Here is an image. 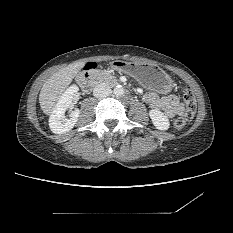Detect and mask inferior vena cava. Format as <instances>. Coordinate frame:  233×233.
I'll return each mask as SVG.
<instances>
[{
	"label": "inferior vena cava",
	"mask_w": 233,
	"mask_h": 233,
	"mask_svg": "<svg viewBox=\"0 0 233 233\" xmlns=\"http://www.w3.org/2000/svg\"><path fill=\"white\" fill-rule=\"evenodd\" d=\"M111 93H112L111 88L105 83H100L96 85L95 88L93 89V95L96 98H104L110 96Z\"/></svg>",
	"instance_id": "602c4592"
}]
</instances>
